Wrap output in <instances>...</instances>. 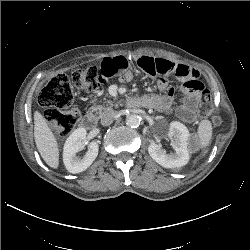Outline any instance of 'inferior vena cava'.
I'll return each mask as SVG.
<instances>
[{
    "instance_id": "inferior-vena-cava-1",
    "label": "inferior vena cava",
    "mask_w": 250,
    "mask_h": 250,
    "mask_svg": "<svg viewBox=\"0 0 250 250\" xmlns=\"http://www.w3.org/2000/svg\"><path fill=\"white\" fill-rule=\"evenodd\" d=\"M118 115V112L117 111H114V110H111V111H108V112H105L102 117H101V124L103 126H108L110 125L114 120L115 118L117 117Z\"/></svg>"
}]
</instances>
